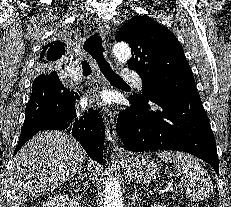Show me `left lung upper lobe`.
Instances as JSON below:
<instances>
[{
    "mask_svg": "<svg viewBox=\"0 0 231 207\" xmlns=\"http://www.w3.org/2000/svg\"><path fill=\"white\" fill-rule=\"evenodd\" d=\"M131 46L128 67L143 80L142 95L130 96L140 102L175 99L198 94L184 51L167 28L146 15L132 18L116 35Z\"/></svg>",
    "mask_w": 231,
    "mask_h": 207,
    "instance_id": "obj_1",
    "label": "left lung upper lobe"
}]
</instances>
